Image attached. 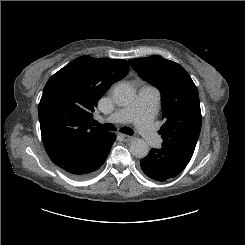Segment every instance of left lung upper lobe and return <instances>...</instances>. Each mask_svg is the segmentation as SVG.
Listing matches in <instances>:
<instances>
[{"mask_svg": "<svg viewBox=\"0 0 245 245\" xmlns=\"http://www.w3.org/2000/svg\"><path fill=\"white\" fill-rule=\"evenodd\" d=\"M133 69L161 92L162 147L189 163L201 130L197 88L178 63L159 55L129 60Z\"/></svg>", "mask_w": 245, "mask_h": 245, "instance_id": "left-lung-upper-lobe-1", "label": "left lung upper lobe"}]
</instances>
